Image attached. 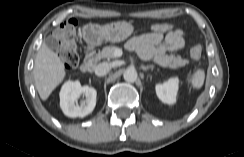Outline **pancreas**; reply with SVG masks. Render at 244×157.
Segmentation results:
<instances>
[{
    "instance_id": "pancreas-1",
    "label": "pancreas",
    "mask_w": 244,
    "mask_h": 157,
    "mask_svg": "<svg viewBox=\"0 0 244 157\" xmlns=\"http://www.w3.org/2000/svg\"><path fill=\"white\" fill-rule=\"evenodd\" d=\"M117 48L118 47L116 46H106L102 49L100 56L108 60L115 58L114 52ZM153 61L162 67H170L172 69H175L177 67H183L186 64H189V61L187 59H182L181 56L179 55L175 56L173 54L171 55L156 54L153 57Z\"/></svg>"
}]
</instances>
